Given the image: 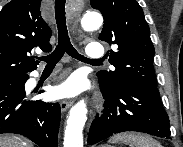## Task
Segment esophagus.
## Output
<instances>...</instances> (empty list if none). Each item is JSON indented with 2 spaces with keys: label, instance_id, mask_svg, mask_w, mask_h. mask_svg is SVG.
<instances>
[{
  "label": "esophagus",
  "instance_id": "34e87169",
  "mask_svg": "<svg viewBox=\"0 0 183 147\" xmlns=\"http://www.w3.org/2000/svg\"><path fill=\"white\" fill-rule=\"evenodd\" d=\"M72 104H73L72 100H67V99L61 100L60 101L61 111L65 112L67 109L71 107Z\"/></svg>",
  "mask_w": 183,
  "mask_h": 147
}]
</instances>
